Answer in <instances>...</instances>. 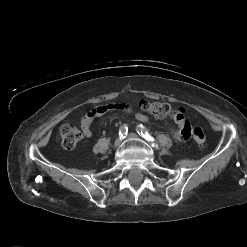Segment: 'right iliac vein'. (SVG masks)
Segmentation results:
<instances>
[{
	"label": "right iliac vein",
	"instance_id": "1",
	"mask_svg": "<svg viewBox=\"0 0 247 247\" xmlns=\"http://www.w3.org/2000/svg\"><path fill=\"white\" fill-rule=\"evenodd\" d=\"M122 139L121 138H117L114 142V147H119L121 145Z\"/></svg>",
	"mask_w": 247,
	"mask_h": 247
}]
</instances>
